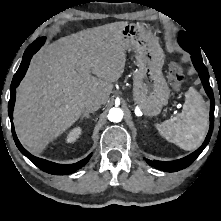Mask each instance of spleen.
I'll return each instance as SVG.
<instances>
[{
	"label": "spleen",
	"instance_id": "obj_1",
	"mask_svg": "<svg viewBox=\"0 0 221 221\" xmlns=\"http://www.w3.org/2000/svg\"><path fill=\"white\" fill-rule=\"evenodd\" d=\"M208 109L198 92L190 88L185 93L183 109L175 119L157 124L160 135L183 150L198 148L208 129Z\"/></svg>",
	"mask_w": 221,
	"mask_h": 221
}]
</instances>
